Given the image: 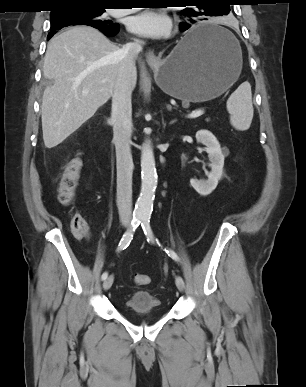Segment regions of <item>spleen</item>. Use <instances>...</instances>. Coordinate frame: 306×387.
<instances>
[{
  "label": "spleen",
  "mask_w": 306,
  "mask_h": 387,
  "mask_svg": "<svg viewBox=\"0 0 306 387\" xmlns=\"http://www.w3.org/2000/svg\"><path fill=\"white\" fill-rule=\"evenodd\" d=\"M226 107L230 114V123L235 129H249L254 113L251 85L248 82L242 83L230 95Z\"/></svg>",
  "instance_id": "obj_1"
}]
</instances>
